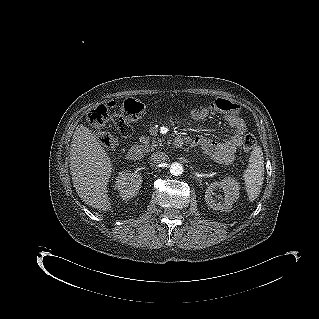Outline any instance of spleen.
Wrapping results in <instances>:
<instances>
[{
    "instance_id": "obj_1",
    "label": "spleen",
    "mask_w": 319,
    "mask_h": 319,
    "mask_svg": "<svg viewBox=\"0 0 319 319\" xmlns=\"http://www.w3.org/2000/svg\"><path fill=\"white\" fill-rule=\"evenodd\" d=\"M243 177L249 200L253 201L261 192L264 180V157L260 146H254L249 158L248 168Z\"/></svg>"
}]
</instances>
